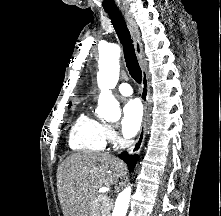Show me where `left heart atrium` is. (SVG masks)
Listing matches in <instances>:
<instances>
[{"instance_id": "obj_1", "label": "left heart atrium", "mask_w": 221, "mask_h": 216, "mask_svg": "<svg viewBox=\"0 0 221 216\" xmlns=\"http://www.w3.org/2000/svg\"><path fill=\"white\" fill-rule=\"evenodd\" d=\"M143 111L139 101L129 100L122 109L121 131L125 137L134 136L142 122Z\"/></svg>"}]
</instances>
